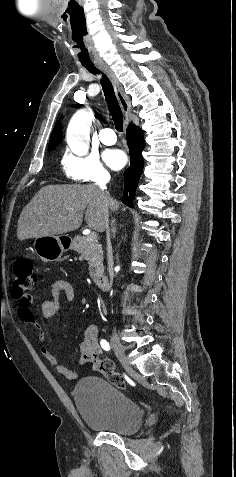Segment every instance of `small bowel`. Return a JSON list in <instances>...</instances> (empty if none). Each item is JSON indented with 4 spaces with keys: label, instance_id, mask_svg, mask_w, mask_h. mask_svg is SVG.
<instances>
[{
    "label": "small bowel",
    "instance_id": "1",
    "mask_svg": "<svg viewBox=\"0 0 236 477\" xmlns=\"http://www.w3.org/2000/svg\"><path fill=\"white\" fill-rule=\"evenodd\" d=\"M51 294L50 300H42V296L39 299L40 303V315L44 320L50 319L57 314L61 305V296H64L66 302L73 301L75 297V289L70 281L64 278H56L51 281L49 285ZM19 317L28 325L38 331L39 338L45 341V335L40 330V327L36 321L31 307L22 308L18 307ZM99 329L96 324H88L84 330L83 341L79 345V356L76 360V364H84L87 362L93 363V369L96 368V361L100 359L102 355V347L98 340ZM42 354L45 360L55 368L56 372L63 375L68 380H74L78 377L76 371L66 367L58 362L56 356L49 348L43 346L41 348Z\"/></svg>",
    "mask_w": 236,
    "mask_h": 477
}]
</instances>
